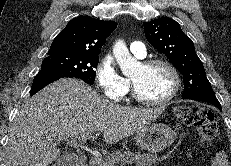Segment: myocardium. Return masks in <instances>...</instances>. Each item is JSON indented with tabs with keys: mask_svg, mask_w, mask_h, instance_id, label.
<instances>
[{
	"mask_svg": "<svg viewBox=\"0 0 231 166\" xmlns=\"http://www.w3.org/2000/svg\"><path fill=\"white\" fill-rule=\"evenodd\" d=\"M141 66L145 68H150L153 66H163L165 67L171 74L172 80H173V86L169 94L159 100H149L143 98L138 90L137 87L134 83V81L131 79V86H132V94L133 97L141 104L147 105V106H164L168 103H170L178 94L180 87H181V78L180 74L177 70V68L169 61L163 58H154V59H149L141 62Z\"/></svg>",
	"mask_w": 231,
	"mask_h": 166,
	"instance_id": "f54148a6",
	"label": "myocardium"
}]
</instances>
